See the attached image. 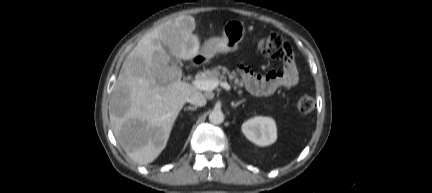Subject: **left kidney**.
Instances as JSON below:
<instances>
[{
    "instance_id": "5707ae66",
    "label": "left kidney",
    "mask_w": 432,
    "mask_h": 193,
    "mask_svg": "<svg viewBox=\"0 0 432 193\" xmlns=\"http://www.w3.org/2000/svg\"><path fill=\"white\" fill-rule=\"evenodd\" d=\"M242 132L248 140L259 146H268L277 139L276 123L270 117L257 116L245 121Z\"/></svg>"
}]
</instances>
